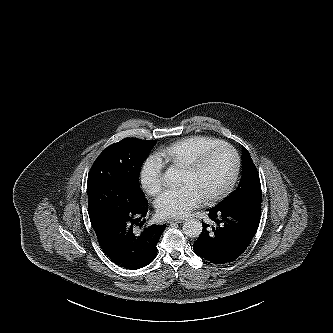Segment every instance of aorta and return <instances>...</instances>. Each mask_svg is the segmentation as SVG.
I'll return each mask as SVG.
<instances>
[{
    "instance_id": "1",
    "label": "aorta",
    "mask_w": 333,
    "mask_h": 333,
    "mask_svg": "<svg viewBox=\"0 0 333 333\" xmlns=\"http://www.w3.org/2000/svg\"><path fill=\"white\" fill-rule=\"evenodd\" d=\"M164 179L167 182H174L176 180V170L171 167L166 170ZM183 233L189 238H197L202 232V223L195 218L186 219L183 223Z\"/></svg>"
}]
</instances>
